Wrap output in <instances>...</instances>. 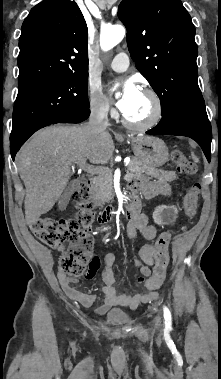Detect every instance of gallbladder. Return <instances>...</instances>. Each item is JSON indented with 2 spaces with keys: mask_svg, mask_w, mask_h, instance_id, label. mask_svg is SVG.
I'll use <instances>...</instances> for the list:
<instances>
[{
  "mask_svg": "<svg viewBox=\"0 0 221 379\" xmlns=\"http://www.w3.org/2000/svg\"><path fill=\"white\" fill-rule=\"evenodd\" d=\"M78 188V184L75 181L70 182L58 200V206L60 209L64 208L72 195V193Z\"/></svg>",
  "mask_w": 221,
  "mask_h": 379,
  "instance_id": "1",
  "label": "gallbladder"
}]
</instances>
